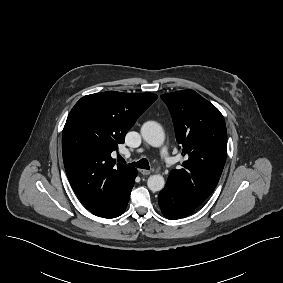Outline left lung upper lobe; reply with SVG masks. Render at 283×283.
<instances>
[{
  "label": "left lung upper lobe",
  "mask_w": 283,
  "mask_h": 283,
  "mask_svg": "<svg viewBox=\"0 0 283 283\" xmlns=\"http://www.w3.org/2000/svg\"><path fill=\"white\" fill-rule=\"evenodd\" d=\"M161 98L171 113L176 140L188 156L183 168L172 170L168 180L199 206L215 189L226 161L224 118L214 105L191 89L163 94Z\"/></svg>",
  "instance_id": "left-lung-upper-lobe-1"
}]
</instances>
